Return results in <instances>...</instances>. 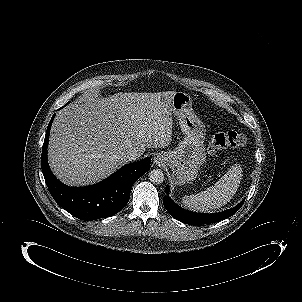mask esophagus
<instances>
[{
  "instance_id": "obj_1",
  "label": "esophagus",
  "mask_w": 302,
  "mask_h": 302,
  "mask_svg": "<svg viewBox=\"0 0 302 302\" xmlns=\"http://www.w3.org/2000/svg\"><path fill=\"white\" fill-rule=\"evenodd\" d=\"M153 162H154V164H156V165H162L163 164V162H164V159H163V156H161V155H155L154 156V158H153Z\"/></svg>"
}]
</instances>
